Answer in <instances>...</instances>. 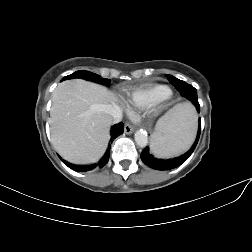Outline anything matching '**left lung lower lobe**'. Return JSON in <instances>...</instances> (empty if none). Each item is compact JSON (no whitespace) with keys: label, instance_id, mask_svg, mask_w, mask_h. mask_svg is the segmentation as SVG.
<instances>
[{"label":"left lung lower lobe","instance_id":"left-lung-lower-lobe-1","mask_svg":"<svg viewBox=\"0 0 252 252\" xmlns=\"http://www.w3.org/2000/svg\"><path fill=\"white\" fill-rule=\"evenodd\" d=\"M174 86L180 92L182 96L192 101L194 105L196 106L197 111L200 112V105L198 103L196 89L192 85H189L182 80L179 81L178 83H174ZM200 131H201V119H199V129H198V134H197L195 143L193 144L191 149L182 156H179L173 159H168V160L157 159L156 157L152 155L149 148L146 147L141 153V160L144 162L145 165L156 170H170V169L176 168L180 166L182 163H184L189 158V156L193 153L200 137Z\"/></svg>","mask_w":252,"mask_h":252}]
</instances>
